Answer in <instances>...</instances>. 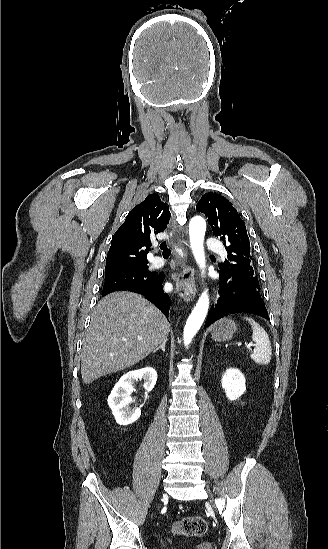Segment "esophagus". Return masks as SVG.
Here are the masks:
<instances>
[{
    "label": "esophagus",
    "mask_w": 328,
    "mask_h": 549,
    "mask_svg": "<svg viewBox=\"0 0 328 549\" xmlns=\"http://www.w3.org/2000/svg\"><path fill=\"white\" fill-rule=\"evenodd\" d=\"M195 271L191 266L183 265L176 278V292L183 301H190L196 294Z\"/></svg>",
    "instance_id": "34e87169"
}]
</instances>
